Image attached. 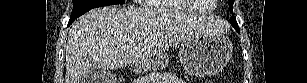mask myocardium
Masks as SVG:
<instances>
[{"mask_svg":"<svg viewBox=\"0 0 307 83\" xmlns=\"http://www.w3.org/2000/svg\"><path fill=\"white\" fill-rule=\"evenodd\" d=\"M181 2L186 5L187 7L191 8L193 10V12H197L200 14H207V13H211L213 11L214 5H211L210 9L208 10H202L200 9L193 0H181Z\"/></svg>","mask_w":307,"mask_h":83,"instance_id":"1","label":"myocardium"}]
</instances>
